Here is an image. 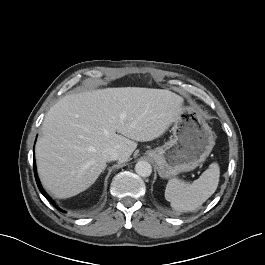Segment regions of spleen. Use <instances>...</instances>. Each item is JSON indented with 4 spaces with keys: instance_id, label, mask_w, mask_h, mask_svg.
Segmentation results:
<instances>
[{
    "instance_id": "3e777b00",
    "label": "spleen",
    "mask_w": 265,
    "mask_h": 265,
    "mask_svg": "<svg viewBox=\"0 0 265 265\" xmlns=\"http://www.w3.org/2000/svg\"><path fill=\"white\" fill-rule=\"evenodd\" d=\"M220 169L212 163L202 175L192 183L172 178L165 189V199L177 211H194L199 208L216 191L219 183Z\"/></svg>"
}]
</instances>
